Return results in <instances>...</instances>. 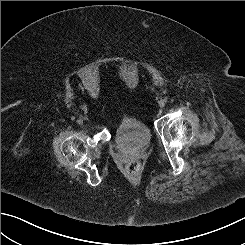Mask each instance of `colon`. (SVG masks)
I'll use <instances>...</instances> for the list:
<instances>
[{
	"label": "colon",
	"mask_w": 245,
	"mask_h": 245,
	"mask_svg": "<svg viewBox=\"0 0 245 245\" xmlns=\"http://www.w3.org/2000/svg\"><path fill=\"white\" fill-rule=\"evenodd\" d=\"M140 163L136 160H131L126 164V172L129 174H135L140 170Z\"/></svg>",
	"instance_id": "5ec220e1"
}]
</instances>
